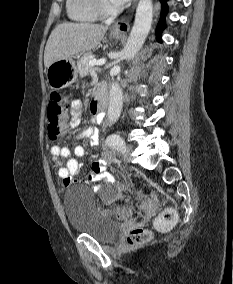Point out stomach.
<instances>
[{
    "mask_svg": "<svg viewBox=\"0 0 233 284\" xmlns=\"http://www.w3.org/2000/svg\"><path fill=\"white\" fill-rule=\"evenodd\" d=\"M110 36L115 39L121 38L120 34L113 32ZM76 57L77 55L57 60L47 68V83L52 89L65 88L77 80L78 70L74 60Z\"/></svg>",
    "mask_w": 233,
    "mask_h": 284,
    "instance_id": "stomach-1",
    "label": "stomach"
}]
</instances>
